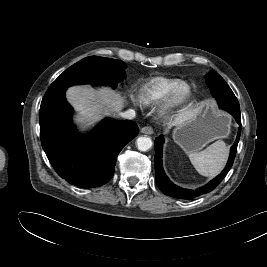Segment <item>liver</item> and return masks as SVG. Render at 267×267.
<instances>
[{
	"mask_svg": "<svg viewBox=\"0 0 267 267\" xmlns=\"http://www.w3.org/2000/svg\"><path fill=\"white\" fill-rule=\"evenodd\" d=\"M69 103L78 112L77 122L90 125L98 121L102 114L118 112L124 104V98L110 88H101L98 91L90 86H74L67 90ZM197 109H181L174 118L173 124H179L192 116Z\"/></svg>",
	"mask_w": 267,
	"mask_h": 267,
	"instance_id": "obj_1",
	"label": "liver"
}]
</instances>
